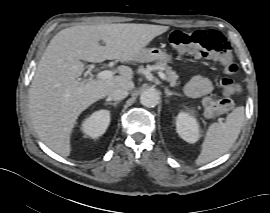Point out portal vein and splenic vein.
<instances>
[{
	"label": "portal vein and splenic vein",
	"mask_w": 270,
	"mask_h": 213,
	"mask_svg": "<svg viewBox=\"0 0 270 213\" xmlns=\"http://www.w3.org/2000/svg\"><path fill=\"white\" fill-rule=\"evenodd\" d=\"M113 74H114V72L111 70H104V71L99 72L96 75V78L97 79H109V78L113 77ZM158 75L162 80H166V75L163 72H158Z\"/></svg>",
	"instance_id": "obj_1"
}]
</instances>
